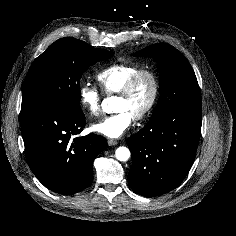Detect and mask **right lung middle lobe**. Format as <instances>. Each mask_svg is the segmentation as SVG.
Returning <instances> with one entry per match:
<instances>
[{"label":"right lung middle lobe","instance_id":"dd1d6c3e","mask_svg":"<svg viewBox=\"0 0 236 236\" xmlns=\"http://www.w3.org/2000/svg\"><path fill=\"white\" fill-rule=\"evenodd\" d=\"M113 52L93 48L84 41L61 38L32 63L23 84L21 111L54 106L81 111L80 79L85 70Z\"/></svg>","mask_w":236,"mask_h":236}]
</instances>
